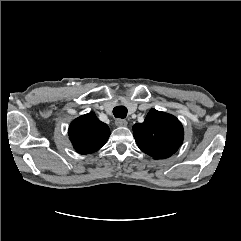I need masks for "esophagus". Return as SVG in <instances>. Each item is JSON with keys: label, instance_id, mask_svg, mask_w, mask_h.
Listing matches in <instances>:
<instances>
[{"label": "esophagus", "instance_id": "34e87169", "mask_svg": "<svg viewBox=\"0 0 241 241\" xmlns=\"http://www.w3.org/2000/svg\"><path fill=\"white\" fill-rule=\"evenodd\" d=\"M127 121L124 120V119H116L115 121V125L118 126V127H124V126H127Z\"/></svg>", "mask_w": 241, "mask_h": 241}]
</instances>
